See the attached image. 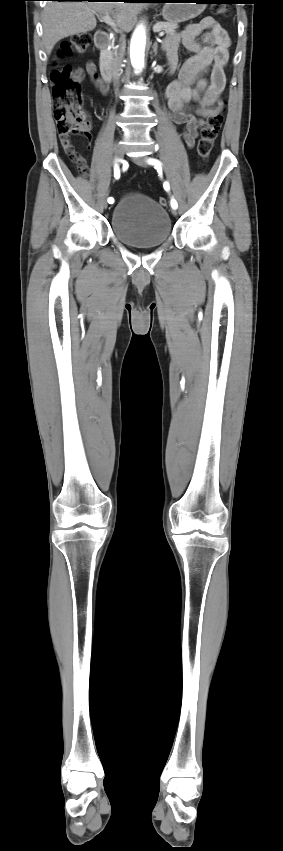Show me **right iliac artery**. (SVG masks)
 <instances>
[{"mask_svg": "<svg viewBox=\"0 0 283 851\" xmlns=\"http://www.w3.org/2000/svg\"><path fill=\"white\" fill-rule=\"evenodd\" d=\"M114 177L116 179H118L120 177V170H119V167L117 165L114 166ZM108 202L110 204H112L114 202V199L112 197H109Z\"/></svg>", "mask_w": 283, "mask_h": 851, "instance_id": "1", "label": "right iliac artery"}]
</instances>
